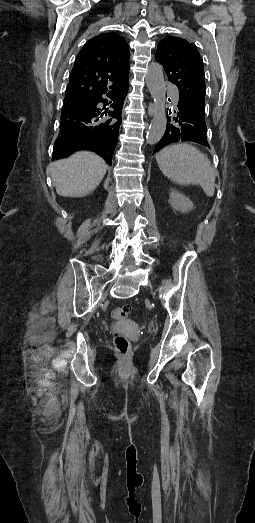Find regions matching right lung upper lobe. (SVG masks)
<instances>
[{"label":"right lung upper lobe","instance_id":"right-lung-upper-lobe-1","mask_svg":"<svg viewBox=\"0 0 255 523\" xmlns=\"http://www.w3.org/2000/svg\"><path fill=\"white\" fill-rule=\"evenodd\" d=\"M129 59L128 44L117 34H100L86 42L70 74L52 160L86 149L97 152L109 165L112 164L124 94L128 89ZM93 101L100 104L99 139L85 143L79 107L82 104L89 106Z\"/></svg>","mask_w":255,"mask_h":523}]
</instances>
